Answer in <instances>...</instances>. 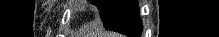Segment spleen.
I'll return each instance as SVG.
<instances>
[{"mask_svg":"<svg viewBox=\"0 0 219 37\" xmlns=\"http://www.w3.org/2000/svg\"><path fill=\"white\" fill-rule=\"evenodd\" d=\"M107 37H121V36H119L118 34H109V36Z\"/></svg>","mask_w":219,"mask_h":37,"instance_id":"obj_1","label":"spleen"}]
</instances>
